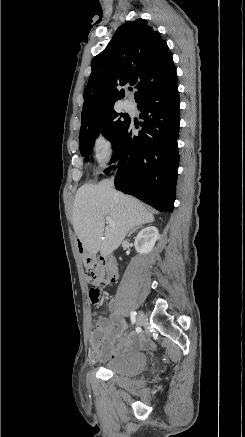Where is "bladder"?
<instances>
[{"label":"bladder","instance_id":"31cf9c89","mask_svg":"<svg viewBox=\"0 0 245 437\" xmlns=\"http://www.w3.org/2000/svg\"><path fill=\"white\" fill-rule=\"evenodd\" d=\"M147 364V356L138 351H121L104 365L113 374L131 377L140 373Z\"/></svg>","mask_w":245,"mask_h":437}]
</instances>
